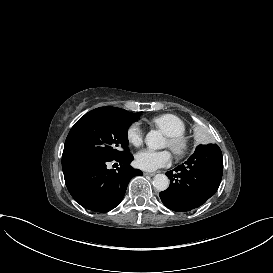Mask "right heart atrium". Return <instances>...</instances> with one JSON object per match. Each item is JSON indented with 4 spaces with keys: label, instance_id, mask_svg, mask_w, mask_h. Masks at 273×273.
I'll use <instances>...</instances> for the list:
<instances>
[{
    "label": "right heart atrium",
    "instance_id": "right-heart-atrium-1",
    "mask_svg": "<svg viewBox=\"0 0 273 273\" xmlns=\"http://www.w3.org/2000/svg\"><path fill=\"white\" fill-rule=\"evenodd\" d=\"M143 129L137 122L131 124L127 130V138L129 142L135 146L141 145L143 142Z\"/></svg>",
    "mask_w": 273,
    "mask_h": 273
}]
</instances>
